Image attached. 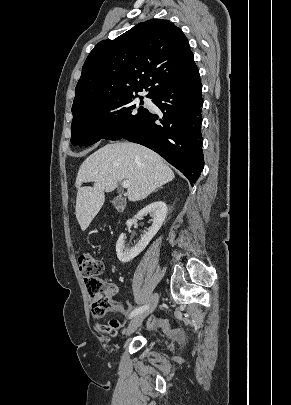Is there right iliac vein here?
<instances>
[{"instance_id":"right-iliac-vein-1","label":"right iliac vein","mask_w":291,"mask_h":405,"mask_svg":"<svg viewBox=\"0 0 291 405\" xmlns=\"http://www.w3.org/2000/svg\"><path fill=\"white\" fill-rule=\"evenodd\" d=\"M158 300H159L158 294L157 293L153 294L150 303L148 305V308L142 313L138 314L136 317H134L129 323L125 332L126 335H130L131 333H133L141 325L142 321L155 310L158 304Z\"/></svg>"}]
</instances>
